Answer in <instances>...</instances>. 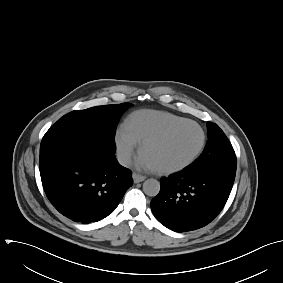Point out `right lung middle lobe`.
<instances>
[{
  "label": "right lung middle lobe",
  "instance_id": "right-lung-middle-lobe-1",
  "mask_svg": "<svg viewBox=\"0 0 283 283\" xmlns=\"http://www.w3.org/2000/svg\"><path fill=\"white\" fill-rule=\"evenodd\" d=\"M130 106V103L96 106L64 115L44 135L40 153L77 138L114 139L117 122Z\"/></svg>",
  "mask_w": 283,
  "mask_h": 283
}]
</instances>
